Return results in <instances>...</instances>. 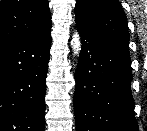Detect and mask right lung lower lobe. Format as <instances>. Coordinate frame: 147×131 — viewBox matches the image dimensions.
Here are the masks:
<instances>
[{"instance_id":"obj_1","label":"right lung lower lobe","mask_w":147,"mask_h":131,"mask_svg":"<svg viewBox=\"0 0 147 131\" xmlns=\"http://www.w3.org/2000/svg\"><path fill=\"white\" fill-rule=\"evenodd\" d=\"M50 30L0 48V131H44Z\"/></svg>"}]
</instances>
